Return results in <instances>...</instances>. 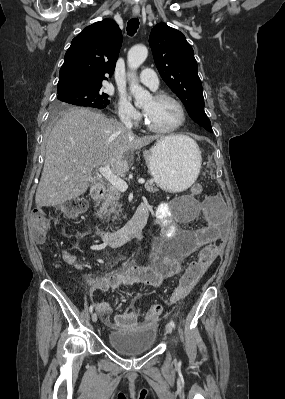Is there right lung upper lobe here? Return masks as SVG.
Here are the masks:
<instances>
[{"label": "right lung upper lobe", "instance_id": "right-lung-upper-lobe-1", "mask_svg": "<svg viewBox=\"0 0 285 399\" xmlns=\"http://www.w3.org/2000/svg\"><path fill=\"white\" fill-rule=\"evenodd\" d=\"M122 44V32L114 20L103 19L77 35L65 54L57 92L101 88L106 74H113Z\"/></svg>", "mask_w": 285, "mask_h": 399}]
</instances>
